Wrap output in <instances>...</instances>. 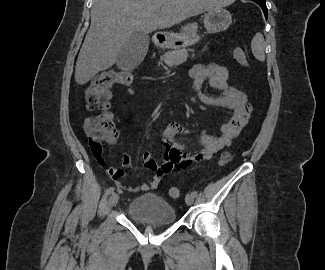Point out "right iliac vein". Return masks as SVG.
<instances>
[{
	"label": "right iliac vein",
	"mask_w": 325,
	"mask_h": 270,
	"mask_svg": "<svg viewBox=\"0 0 325 270\" xmlns=\"http://www.w3.org/2000/svg\"><path fill=\"white\" fill-rule=\"evenodd\" d=\"M119 200V195L117 193H113L108 199V207H112L117 204Z\"/></svg>",
	"instance_id": "63e3f726"
}]
</instances>
